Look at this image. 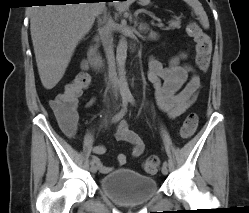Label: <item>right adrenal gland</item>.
Masks as SVG:
<instances>
[{"mask_svg":"<svg viewBox=\"0 0 249 213\" xmlns=\"http://www.w3.org/2000/svg\"><path fill=\"white\" fill-rule=\"evenodd\" d=\"M109 19V14L107 13V10L104 11V17L103 22L107 21Z\"/></svg>","mask_w":249,"mask_h":213,"instance_id":"1","label":"right adrenal gland"}]
</instances>
